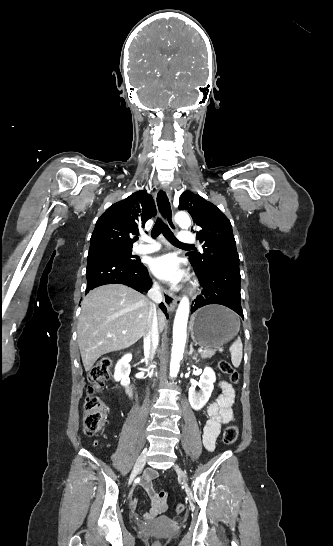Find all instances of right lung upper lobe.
I'll use <instances>...</instances> for the list:
<instances>
[{
  "instance_id": "1",
  "label": "right lung upper lobe",
  "mask_w": 333,
  "mask_h": 546,
  "mask_svg": "<svg viewBox=\"0 0 333 546\" xmlns=\"http://www.w3.org/2000/svg\"><path fill=\"white\" fill-rule=\"evenodd\" d=\"M156 215L153 197L140 190L111 205L97 220L89 252L106 247H133L138 227Z\"/></svg>"
}]
</instances>
